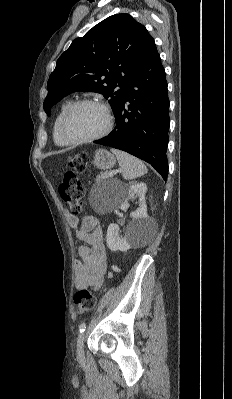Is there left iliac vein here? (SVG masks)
I'll return each mask as SVG.
<instances>
[{"instance_id":"1","label":"left iliac vein","mask_w":232,"mask_h":399,"mask_svg":"<svg viewBox=\"0 0 232 399\" xmlns=\"http://www.w3.org/2000/svg\"><path fill=\"white\" fill-rule=\"evenodd\" d=\"M80 337H77V343H76V353L77 356H84V349H83V345H84V333L80 332L79 333Z\"/></svg>"}]
</instances>
